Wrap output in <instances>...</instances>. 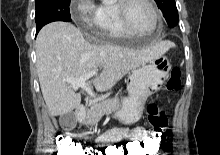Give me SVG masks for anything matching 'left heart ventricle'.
Wrapping results in <instances>:
<instances>
[{
	"instance_id": "left-heart-ventricle-1",
	"label": "left heart ventricle",
	"mask_w": 220,
	"mask_h": 155,
	"mask_svg": "<svg viewBox=\"0 0 220 155\" xmlns=\"http://www.w3.org/2000/svg\"><path fill=\"white\" fill-rule=\"evenodd\" d=\"M129 18L133 27L139 31L147 32L154 27V17L150 7L141 0L130 5Z\"/></svg>"
}]
</instances>
